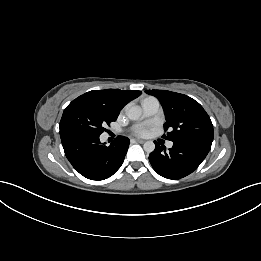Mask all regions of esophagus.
Listing matches in <instances>:
<instances>
[{
	"instance_id": "1",
	"label": "esophagus",
	"mask_w": 261,
	"mask_h": 261,
	"mask_svg": "<svg viewBox=\"0 0 261 261\" xmlns=\"http://www.w3.org/2000/svg\"><path fill=\"white\" fill-rule=\"evenodd\" d=\"M135 142L142 144V143H144L145 141H144V140H141V139H135Z\"/></svg>"
}]
</instances>
